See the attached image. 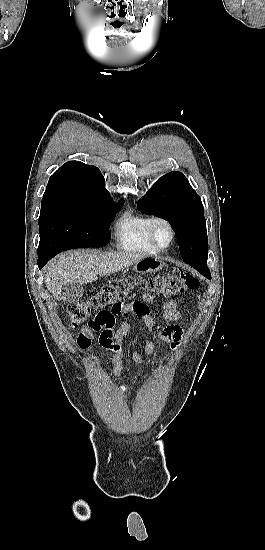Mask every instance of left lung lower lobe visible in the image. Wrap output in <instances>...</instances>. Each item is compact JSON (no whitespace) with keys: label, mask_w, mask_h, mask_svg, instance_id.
Listing matches in <instances>:
<instances>
[{"label":"left lung lower lobe","mask_w":265,"mask_h":550,"mask_svg":"<svg viewBox=\"0 0 265 550\" xmlns=\"http://www.w3.org/2000/svg\"><path fill=\"white\" fill-rule=\"evenodd\" d=\"M190 266L194 267L197 271H199L203 276H205L208 279H211L210 270L207 266V260L202 261H195V262H189Z\"/></svg>","instance_id":"obj_1"}]
</instances>
